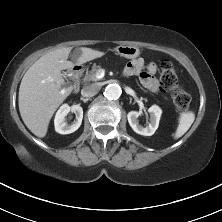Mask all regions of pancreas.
Here are the masks:
<instances>
[{
    "instance_id": "1",
    "label": "pancreas",
    "mask_w": 222,
    "mask_h": 222,
    "mask_svg": "<svg viewBox=\"0 0 222 222\" xmlns=\"http://www.w3.org/2000/svg\"><path fill=\"white\" fill-rule=\"evenodd\" d=\"M99 70H100V66H93L92 69L86 73L84 77V81L85 82L98 81L97 73L99 72Z\"/></svg>"
}]
</instances>
